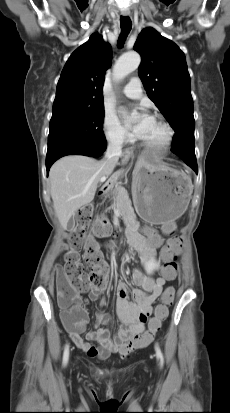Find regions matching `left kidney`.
<instances>
[{
    "instance_id": "5707ae66",
    "label": "left kidney",
    "mask_w": 230,
    "mask_h": 413,
    "mask_svg": "<svg viewBox=\"0 0 230 413\" xmlns=\"http://www.w3.org/2000/svg\"><path fill=\"white\" fill-rule=\"evenodd\" d=\"M158 267V264L157 263H153V262H151V263H149L148 265H147V269L150 271V270H153V269H155V268H157Z\"/></svg>"
}]
</instances>
